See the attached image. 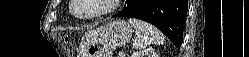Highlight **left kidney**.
I'll return each mask as SVG.
<instances>
[{
  "instance_id": "left-kidney-1",
  "label": "left kidney",
  "mask_w": 249,
  "mask_h": 57,
  "mask_svg": "<svg viewBox=\"0 0 249 57\" xmlns=\"http://www.w3.org/2000/svg\"><path fill=\"white\" fill-rule=\"evenodd\" d=\"M131 57H159L153 48L143 49L141 51L134 52Z\"/></svg>"
}]
</instances>
